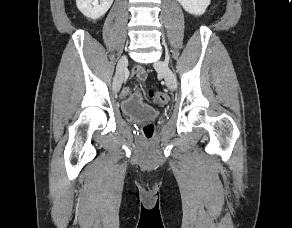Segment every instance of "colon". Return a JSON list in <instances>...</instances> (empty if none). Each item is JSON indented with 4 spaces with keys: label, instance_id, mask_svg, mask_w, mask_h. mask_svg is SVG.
I'll use <instances>...</instances> for the list:
<instances>
[{
    "label": "colon",
    "instance_id": "obj_1",
    "mask_svg": "<svg viewBox=\"0 0 292 228\" xmlns=\"http://www.w3.org/2000/svg\"><path fill=\"white\" fill-rule=\"evenodd\" d=\"M148 95L152 103L156 106H164L167 103L168 97L162 91L149 90ZM154 133L155 127L152 123H147L142 127V134L146 139H152Z\"/></svg>",
    "mask_w": 292,
    "mask_h": 228
}]
</instances>
